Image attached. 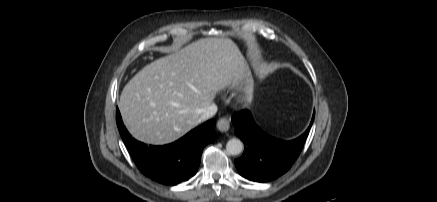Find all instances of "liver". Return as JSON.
Returning a JSON list of instances; mask_svg holds the SVG:
<instances>
[{"mask_svg":"<svg viewBox=\"0 0 437 202\" xmlns=\"http://www.w3.org/2000/svg\"><path fill=\"white\" fill-rule=\"evenodd\" d=\"M249 91L251 74L228 38H202L142 68L123 88L118 107L139 141L165 145L199 122L202 111L226 87Z\"/></svg>","mask_w":437,"mask_h":202,"instance_id":"6515ba94","label":"liver"}]
</instances>
